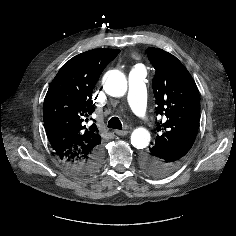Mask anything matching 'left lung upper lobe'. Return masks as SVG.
Returning a JSON list of instances; mask_svg holds the SVG:
<instances>
[{"mask_svg":"<svg viewBox=\"0 0 236 236\" xmlns=\"http://www.w3.org/2000/svg\"><path fill=\"white\" fill-rule=\"evenodd\" d=\"M147 55L156 71L152 84L156 114L165 116L163 122L157 123L162 134H157L154 146L191 149L200 118L198 88L185 66L172 54L151 47Z\"/></svg>","mask_w":236,"mask_h":236,"instance_id":"obj_1","label":"left lung upper lobe"}]
</instances>
